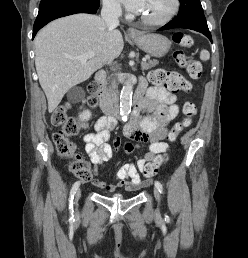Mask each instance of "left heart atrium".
I'll return each instance as SVG.
<instances>
[{"label":"left heart atrium","mask_w":248,"mask_h":258,"mask_svg":"<svg viewBox=\"0 0 248 258\" xmlns=\"http://www.w3.org/2000/svg\"><path fill=\"white\" fill-rule=\"evenodd\" d=\"M127 9L131 12H140L143 8L144 0H123Z\"/></svg>","instance_id":"1"}]
</instances>
